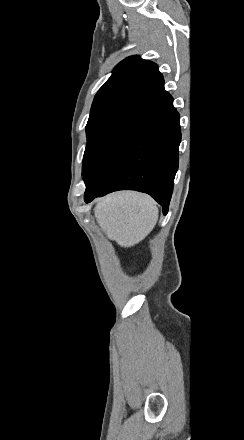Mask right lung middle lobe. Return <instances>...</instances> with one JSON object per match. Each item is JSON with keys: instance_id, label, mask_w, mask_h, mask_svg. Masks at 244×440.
I'll use <instances>...</instances> for the list:
<instances>
[{"instance_id": "dd1d6c3e", "label": "right lung middle lobe", "mask_w": 244, "mask_h": 440, "mask_svg": "<svg viewBox=\"0 0 244 440\" xmlns=\"http://www.w3.org/2000/svg\"><path fill=\"white\" fill-rule=\"evenodd\" d=\"M139 100L136 97H116L93 102L86 126L87 146L83 157V176L108 134Z\"/></svg>"}]
</instances>
